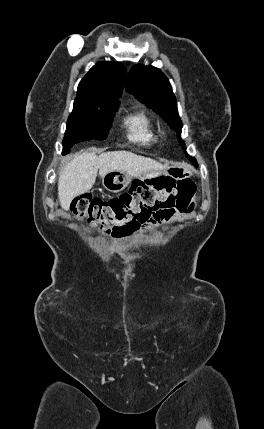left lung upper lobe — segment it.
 Instances as JSON below:
<instances>
[{
    "label": "left lung upper lobe",
    "mask_w": 264,
    "mask_h": 429,
    "mask_svg": "<svg viewBox=\"0 0 264 429\" xmlns=\"http://www.w3.org/2000/svg\"><path fill=\"white\" fill-rule=\"evenodd\" d=\"M126 89L159 114L178 133L179 142L185 149L180 138L182 122L178 115L177 101L169 80L162 71L153 66L135 65L128 74Z\"/></svg>",
    "instance_id": "left-lung-upper-lobe-1"
}]
</instances>
